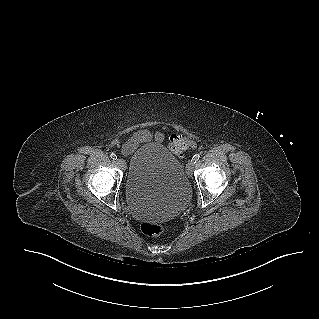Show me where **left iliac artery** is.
Returning <instances> with one entry per match:
<instances>
[{"mask_svg":"<svg viewBox=\"0 0 319 319\" xmlns=\"http://www.w3.org/2000/svg\"><path fill=\"white\" fill-rule=\"evenodd\" d=\"M199 158H200V154H195L192 158V161L196 163L199 160Z\"/></svg>","mask_w":319,"mask_h":319,"instance_id":"44dca946","label":"left iliac artery"}]
</instances>
